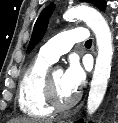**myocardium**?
I'll return each mask as SVG.
<instances>
[{"label":"myocardium","instance_id":"f54148a6","mask_svg":"<svg viewBox=\"0 0 118 123\" xmlns=\"http://www.w3.org/2000/svg\"><path fill=\"white\" fill-rule=\"evenodd\" d=\"M52 72L48 70L44 80L45 100L47 105L53 111H65L72 108L80 99V94L75 93L69 100L61 101L56 93L54 83L52 81Z\"/></svg>","mask_w":118,"mask_h":123}]
</instances>
